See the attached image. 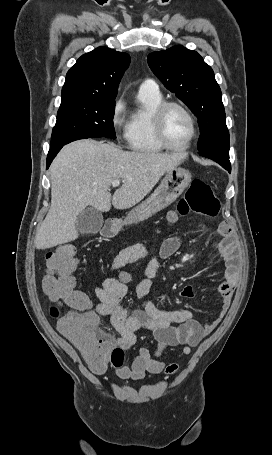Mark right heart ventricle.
Masks as SVG:
<instances>
[{
	"mask_svg": "<svg viewBox=\"0 0 272 455\" xmlns=\"http://www.w3.org/2000/svg\"><path fill=\"white\" fill-rule=\"evenodd\" d=\"M139 107L132 112L127 122L126 140L128 147L140 153H158L164 148L155 138L152 114L163 101L160 92L139 91Z\"/></svg>",
	"mask_w": 272,
	"mask_h": 455,
	"instance_id": "right-heart-ventricle-1",
	"label": "right heart ventricle"
}]
</instances>
